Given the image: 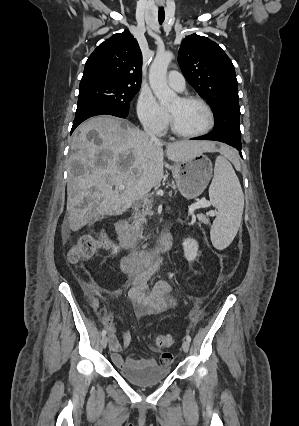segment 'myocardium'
I'll return each instance as SVG.
<instances>
[{
  "label": "myocardium",
  "mask_w": 299,
  "mask_h": 426,
  "mask_svg": "<svg viewBox=\"0 0 299 426\" xmlns=\"http://www.w3.org/2000/svg\"><path fill=\"white\" fill-rule=\"evenodd\" d=\"M179 100L182 101V102H197V103H199L205 109V111L207 113L208 122H207L206 127L204 129L198 131V132H193V133L184 132V131H181L177 127L172 114L170 112H168L170 128H171V131L175 135H177L179 137H183V138H197V137L203 136V135L207 134L209 131H211V129L213 128L214 123H215V117H214V113H213L212 108L203 98L196 96V95H182V96L179 97Z\"/></svg>",
  "instance_id": "f54148a6"
}]
</instances>
